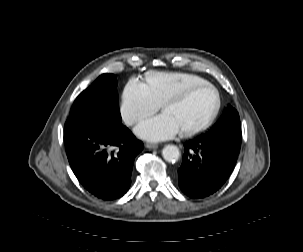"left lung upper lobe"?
Listing matches in <instances>:
<instances>
[{"instance_id":"1","label":"left lung upper lobe","mask_w":303,"mask_h":252,"mask_svg":"<svg viewBox=\"0 0 303 252\" xmlns=\"http://www.w3.org/2000/svg\"><path fill=\"white\" fill-rule=\"evenodd\" d=\"M202 136L208 139L241 141V125L238 112L228 105L217 123Z\"/></svg>"}]
</instances>
